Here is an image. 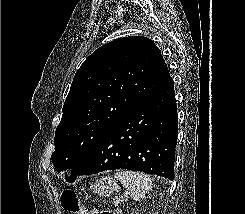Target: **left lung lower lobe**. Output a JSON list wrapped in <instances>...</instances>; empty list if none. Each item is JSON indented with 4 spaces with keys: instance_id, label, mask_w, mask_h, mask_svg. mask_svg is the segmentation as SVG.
Returning <instances> with one entry per match:
<instances>
[{
    "instance_id": "0a47b994",
    "label": "left lung lower lobe",
    "mask_w": 245,
    "mask_h": 214,
    "mask_svg": "<svg viewBox=\"0 0 245 214\" xmlns=\"http://www.w3.org/2000/svg\"><path fill=\"white\" fill-rule=\"evenodd\" d=\"M174 82L169 77L122 117L66 177L128 169L174 178L178 133Z\"/></svg>"
}]
</instances>
